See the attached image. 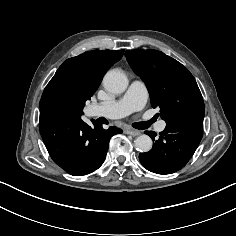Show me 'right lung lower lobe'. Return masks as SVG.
Returning <instances> with one entry per match:
<instances>
[{
    "label": "right lung lower lobe",
    "instance_id": "right-lung-lower-lobe-1",
    "mask_svg": "<svg viewBox=\"0 0 236 236\" xmlns=\"http://www.w3.org/2000/svg\"><path fill=\"white\" fill-rule=\"evenodd\" d=\"M93 127L81 118L56 107L40 109V132L52 160L71 175H86L98 169L105 160L112 136L122 131L116 127L104 130L95 121Z\"/></svg>",
    "mask_w": 236,
    "mask_h": 236
}]
</instances>
